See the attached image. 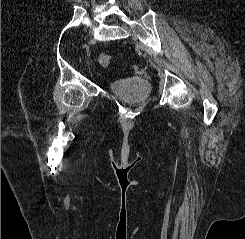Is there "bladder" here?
Segmentation results:
<instances>
[{"mask_svg": "<svg viewBox=\"0 0 245 239\" xmlns=\"http://www.w3.org/2000/svg\"><path fill=\"white\" fill-rule=\"evenodd\" d=\"M109 89L113 94L129 102L142 103L149 98L152 86L131 78L114 80L109 83Z\"/></svg>", "mask_w": 245, "mask_h": 239, "instance_id": "bladder-1", "label": "bladder"}]
</instances>
